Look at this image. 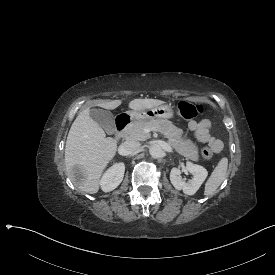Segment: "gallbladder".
Here are the masks:
<instances>
[{
	"label": "gallbladder",
	"instance_id": "1",
	"mask_svg": "<svg viewBox=\"0 0 275 275\" xmlns=\"http://www.w3.org/2000/svg\"><path fill=\"white\" fill-rule=\"evenodd\" d=\"M89 115L106 131L107 134L110 135L115 132V119L110 111L91 109Z\"/></svg>",
	"mask_w": 275,
	"mask_h": 275
}]
</instances>
